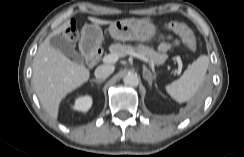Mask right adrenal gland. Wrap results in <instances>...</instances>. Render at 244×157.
<instances>
[{"label":"right adrenal gland","mask_w":244,"mask_h":157,"mask_svg":"<svg viewBox=\"0 0 244 157\" xmlns=\"http://www.w3.org/2000/svg\"><path fill=\"white\" fill-rule=\"evenodd\" d=\"M91 82H95V83L101 84V83L104 82V80H101V79H93V80H91Z\"/></svg>","instance_id":"2a0ac1e0"}]
</instances>
